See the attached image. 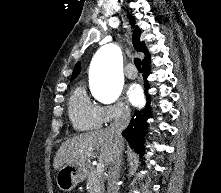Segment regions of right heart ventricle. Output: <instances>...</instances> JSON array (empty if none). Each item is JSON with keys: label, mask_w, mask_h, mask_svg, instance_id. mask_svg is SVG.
I'll list each match as a JSON object with an SVG mask.
<instances>
[{"label": "right heart ventricle", "mask_w": 221, "mask_h": 193, "mask_svg": "<svg viewBox=\"0 0 221 193\" xmlns=\"http://www.w3.org/2000/svg\"><path fill=\"white\" fill-rule=\"evenodd\" d=\"M69 116L74 128L80 131L98 129L102 125L100 106L90 100L81 86L70 97Z\"/></svg>", "instance_id": "1"}]
</instances>
